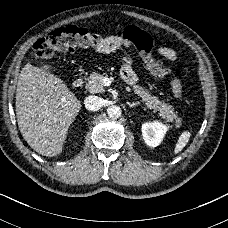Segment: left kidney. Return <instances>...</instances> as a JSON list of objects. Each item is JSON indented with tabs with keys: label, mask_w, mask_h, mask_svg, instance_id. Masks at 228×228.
Returning <instances> with one entry per match:
<instances>
[{
	"label": "left kidney",
	"mask_w": 228,
	"mask_h": 228,
	"mask_svg": "<svg viewBox=\"0 0 228 228\" xmlns=\"http://www.w3.org/2000/svg\"><path fill=\"white\" fill-rule=\"evenodd\" d=\"M166 126L161 123H145L142 126V135L145 143L155 147L161 141L163 134L166 132Z\"/></svg>",
	"instance_id": "1"
}]
</instances>
